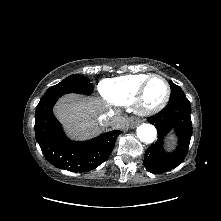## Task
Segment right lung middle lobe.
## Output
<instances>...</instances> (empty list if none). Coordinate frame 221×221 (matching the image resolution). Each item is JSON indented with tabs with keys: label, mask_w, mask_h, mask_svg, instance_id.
I'll list each match as a JSON object with an SVG mask.
<instances>
[{
	"label": "right lung middle lobe",
	"mask_w": 221,
	"mask_h": 221,
	"mask_svg": "<svg viewBox=\"0 0 221 221\" xmlns=\"http://www.w3.org/2000/svg\"><path fill=\"white\" fill-rule=\"evenodd\" d=\"M93 92V84L89 82V79L80 74H73L60 83L50 87L42 96L41 99L63 95L66 93H79L90 95Z\"/></svg>",
	"instance_id": "1"
}]
</instances>
